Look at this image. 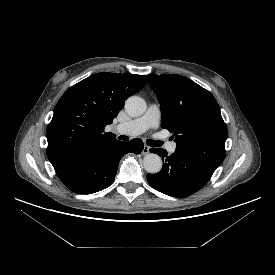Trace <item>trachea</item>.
<instances>
[{
    "instance_id": "obj_1",
    "label": "trachea",
    "mask_w": 275,
    "mask_h": 275,
    "mask_svg": "<svg viewBox=\"0 0 275 275\" xmlns=\"http://www.w3.org/2000/svg\"><path fill=\"white\" fill-rule=\"evenodd\" d=\"M118 139L120 140H124V141H128V137L127 136H124V135H120L118 137ZM147 143L150 145V146H153V147H160L163 142L162 141H156V140H147Z\"/></svg>"
}]
</instances>
